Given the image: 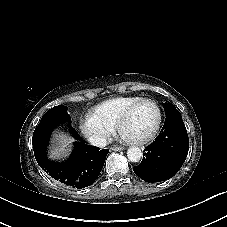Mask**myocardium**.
<instances>
[{
	"instance_id": "f54148a6",
	"label": "myocardium",
	"mask_w": 227,
	"mask_h": 227,
	"mask_svg": "<svg viewBox=\"0 0 227 227\" xmlns=\"http://www.w3.org/2000/svg\"><path fill=\"white\" fill-rule=\"evenodd\" d=\"M143 105H151L155 108L156 110V114H157V119H156V123H155V126L152 130V132L145 136V137H134V136H129L130 139L132 141H135L136 143H144L146 141H149L150 139H152L159 127H160V123H161V111H160V108L159 106L157 105L156 102L154 101H151V100H142L140 102H138L137 104L133 105L129 110L126 111V113L122 116L119 124H118V127H117V131L120 135H124V127L126 125V123L128 122V120L130 119V117L132 116V114L138 109L140 108L141 106Z\"/></svg>"
}]
</instances>
